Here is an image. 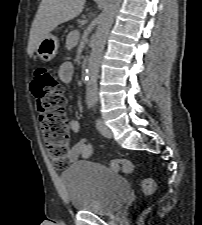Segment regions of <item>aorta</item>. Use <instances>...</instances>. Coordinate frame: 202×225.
<instances>
[{
  "label": "aorta",
  "instance_id": "obj_1",
  "mask_svg": "<svg viewBox=\"0 0 202 225\" xmlns=\"http://www.w3.org/2000/svg\"><path fill=\"white\" fill-rule=\"evenodd\" d=\"M121 0H105L86 70V100L97 101V79L105 43Z\"/></svg>",
  "mask_w": 202,
  "mask_h": 225
}]
</instances>
